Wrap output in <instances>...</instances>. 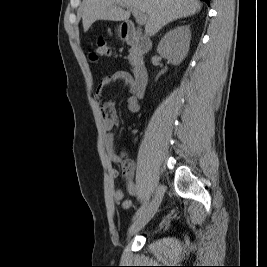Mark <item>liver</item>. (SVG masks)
<instances>
[{"label":"liver","instance_id":"obj_1","mask_svg":"<svg viewBox=\"0 0 267 267\" xmlns=\"http://www.w3.org/2000/svg\"><path fill=\"white\" fill-rule=\"evenodd\" d=\"M135 8L146 15L145 32L155 35L168 23L192 16L200 11L202 4L198 0H83L82 23L84 32L97 20L125 21L130 18V11Z\"/></svg>","mask_w":267,"mask_h":267}]
</instances>
